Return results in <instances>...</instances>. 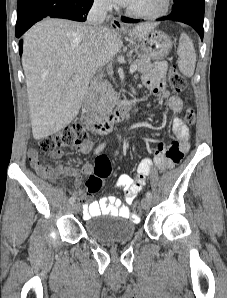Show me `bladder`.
Wrapping results in <instances>:
<instances>
[{
	"mask_svg": "<svg viewBox=\"0 0 227 298\" xmlns=\"http://www.w3.org/2000/svg\"><path fill=\"white\" fill-rule=\"evenodd\" d=\"M87 234L101 244H115L131 240L136 233V224L129 219H90L85 224Z\"/></svg>",
	"mask_w": 227,
	"mask_h": 298,
	"instance_id": "obj_1",
	"label": "bladder"
}]
</instances>
